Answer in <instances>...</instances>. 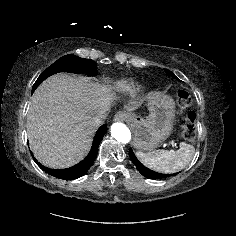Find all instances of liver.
Returning <instances> with one entry per match:
<instances>
[{
	"label": "liver",
	"instance_id": "6515ba94",
	"mask_svg": "<svg viewBox=\"0 0 236 236\" xmlns=\"http://www.w3.org/2000/svg\"><path fill=\"white\" fill-rule=\"evenodd\" d=\"M115 93L87 77L56 74L34 92L28 114L30 148L43 165L61 169L81 161L89 152L95 117L106 118ZM134 110V102L126 106Z\"/></svg>",
	"mask_w": 236,
	"mask_h": 236
}]
</instances>
